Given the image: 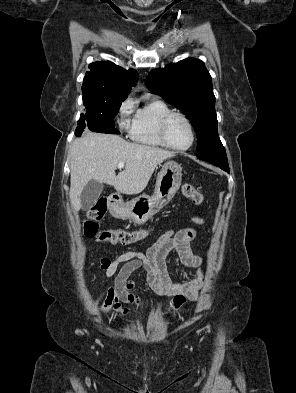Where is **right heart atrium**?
I'll return each instance as SVG.
<instances>
[{
    "label": "right heart atrium",
    "instance_id": "obj_1",
    "mask_svg": "<svg viewBox=\"0 0 296 393\" xmlns=\"http://www.w3.org/2000/svg\"><path fill=\"white\" fill-rule=\"evenodd\" d=\"M131 108H132V102L131 100L127 99L121 103L118 109L119 123L120 126L125 130L129 129L128 116L131 111Z\"/></svg>",
    "mask_w": 296,
    "mask_h": 393
}]
</instances>
